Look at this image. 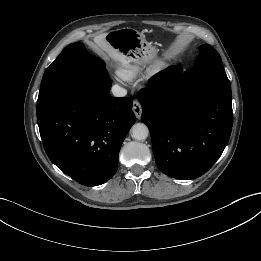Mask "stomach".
Returning <instances> with one entry per match:
<instances>
[{"label":"stomach","mask_w":261,"mask_h":261,"mask_svg":"<svg viewBox=\"0 0 261 261\" xmlns=\"http://www.w3.org/2000/svg\"><path fill=\"white\" fill-rule=\"evenodd\" d=\"M106 41L129 62L148 63L156 49L145 37L133 28H120L106 34Z\"/></svg>","instance_id":"stomach-1"}]
</instances>
